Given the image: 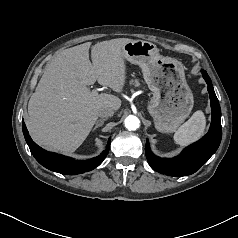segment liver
<instances>
[{
	"label": "liver",
	"mask_w": 238,
	"mask_h": 238,
	"mask_svg": "<svg viewBox=\"0 0 238 238\" xmlns=\"http://www.w3.org/2000/svg\"><path fill=\"white\" fill-rule=\"evenodd\" d=\"M132 41L118 38L83 43L58 53L47 66L28 103L26 125L40 146L64 153L74 152L87 138L98 118V109L118 110L121 100L90 91L100 85L121 92L126 82L123 46Z\"/></svg>",
	"instance_id": "1"
}]
</instances>
